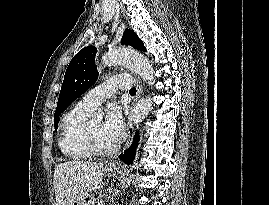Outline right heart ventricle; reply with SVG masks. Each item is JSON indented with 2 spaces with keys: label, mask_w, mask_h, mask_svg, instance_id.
Returning <instances> with one entry per match:
<instances>
[{
  "label": "right heart ventricle",
  "mask_w": 269,
  "mask_h": 205,
  "mask_svg": "<svg viewBox=\"0 0 269 205\" xmlns=\"http://www.w3.org/2000/svg\"><path fill=\"white\" fill-rule=\"evenodd\" d=\"M90 114L91 111L76 105L62 118L58 144L62 154L69 160H84L92 155L84 137L86 121Z\"/></svg>",
  "instance_id": "right-heart-ventricle-1"
}]
</instances>
